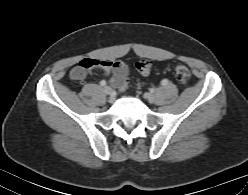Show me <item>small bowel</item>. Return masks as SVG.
Returning <instances> with one entry per match:
<instances>
[{
	"instance_id": "1",
	"label": "small bowel",
	"mask_w": 248,
	"mask_h": 195,
	"mask_svg": "<svg viewBox=\"0 0 248 195\" xmlns=\"http://www.w3.org/2000/svg\"><path fill=\"white\" fill-rule=\"evenodd\" d=\"M91 60L95 65L91 71H97L105 76H108L110 85L114 88H118V82L120 79L127 77V67L121 60ZM84 78L78 81H82Z\"/></svg>"
}]
</instances>
